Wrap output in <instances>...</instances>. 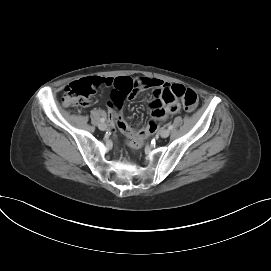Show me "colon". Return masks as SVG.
<instances>
[{"mask_svg":"<svg viewBox=\"0 0 271 271\" xmlns=\"http://www.w3.org/2000/svg\"><path fill=\"white\" fill-rule=\"evenodd\" d=\"M98 80V78H86L70 83L64 90L62 98L63 104L78 107L88 105L90 97L97 92L96 83ZM162 99L167 105H171L180 100L187 111H193L198 104L197 93L179 84H173L166 88L162 93ZM155 129L156 123L151 121L147 128L140 131L136 144L144 141Z\"/></svg>","mask_w":271,"mask_h":271,"instance_id":"obj_1","label":"colon"}]
</instances>
